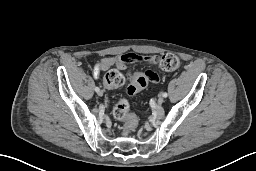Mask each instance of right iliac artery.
<instances>
[{"mask_svg": "<svg viewBox=\"0 0 256 171\" xmlns=\"http://www.w3.org/2000/svg\"><path fill=\"white\" fill-rule=\"evenodd\" d=\"M95 91L98 93L100 89L98 87H95Z\"/></svg>", "mask_w": 256, "mask_h": 171, "instance_id": "1", "label": "right iliac artery"}]
</instances>
